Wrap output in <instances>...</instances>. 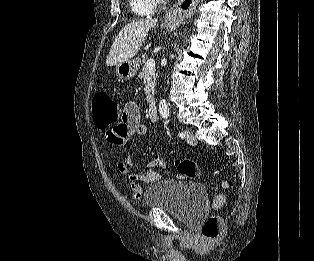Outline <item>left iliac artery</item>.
I'll return each instance as SVG.
<instances>
[{
  "mask_svg": "<svg viewBox=\"0 0 314 261\" xmlns=\"http://www.w3.org/2000/svg\"><path fill=\"white\" fill-rule=\"evenodd\" d=\"M178 136L183 139V138H185V133L179 132V133H178Z\"/></svg>",
  "mask_w": 314,
  "mask_h": 261,
  "instance_id": "obj_1",
  "label": "left iliac artery"
}]
</instances>
